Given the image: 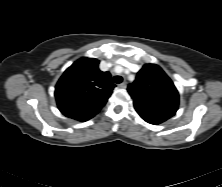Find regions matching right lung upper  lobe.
I'll use <instances>...</instances> for the list:
<instances>
[{
    "instance_id": "obj_1",
    "label": "right lung upper lobe",
    "mask_w": 222,
    "mask_h": 187,
    "mask_svg": "<svg viewBox=\"0 0 222 187\" xmlns=\"http://www.w3.org/2000/svg\"><path fill=\"white\" fill-rule=\"evenodd\" d=\"M99 60L81 58L63 73L55 87L59 110L65 116L84 122L106 104L115 85L109 72H102Z\"/></svg>"
}]
</instances>
